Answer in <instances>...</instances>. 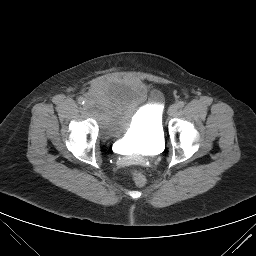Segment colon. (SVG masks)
<instances>
[{
	"label": "colon",
	"mask_w": 256,
	"mask_h": 256,
	"mask_svg": "<svg viewBox=\"0 0 256 256\" xmlns=\"http://www.w3.org/2000/svg\"><path fill=\"white\" fill-rule=\"evenodd\" d=\"M132 179L137 186H144L147 182L146 176L139 170L132 171Z\"/></svg>",
	"instance_id": "colon-1"
}]
</instances>
